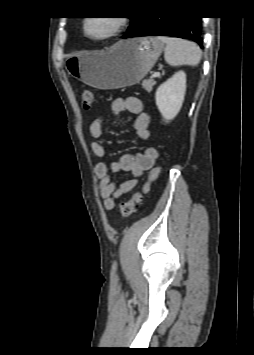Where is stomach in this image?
<instances>
[{"instance_id": "1", "label": "stomach", "mask_w": 254, "mask_h": 355, "mask_svg": "<svg viewBox=\"0 0 254 355\" xmlns=\"http://www.w3.org/2000/svg\"><path fill=\"white\" fill-rule=\"evenodd\" d=\"M164 49L158 37H136L119 41L101 52L67 56L69 75L99 89H118L139 83L152 69Z\"/></svg>"}]
</instances>
